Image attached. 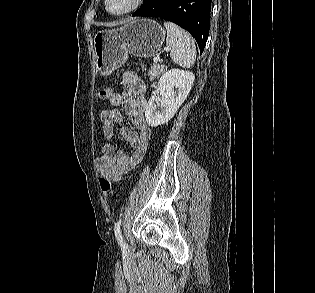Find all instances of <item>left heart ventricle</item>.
Wrapping results in <instances>:
<instances>
[{"instance_id":"b2bd125f","label":"left heart ventricle","mask_w":315,"mask_h":293,"mask_svg":"<svg viewBox=\"0 0 315 293\" xmlns=\"http://www.w3.org/2000/svg\"><path fill=\"white\" fill-rule=\"evenodd\" d=\"M132 3V0H108V9L111 12L118 13L127 9Z\"/></svg>"}]
</instances>
